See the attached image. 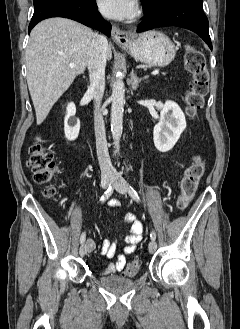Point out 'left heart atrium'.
Returning <instances> with one entry per match:
<instances>
[{"label": "left heart atrium", "instance_id": "1", "mask_svg": "<svg viewBox=\"0 0 240 329\" xmlns=\"http://www.w3.org/2000/svg\"><path fill=\"white\" fill-rule=\"evenodd\" d=\"M100 11L108 18L130 19L136 12L134 0H98Z\"/></svg>", "mask_w": 240, "mask_h": 329}]
</instances>
